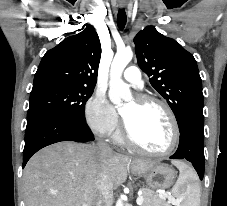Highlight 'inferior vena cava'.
<instances>
[{"mask_svg":"<svg viewBox=\"0 0 227 206\" xmlns=\"http://www.w3.org/2000/svg\"><path fill=\"white\" fill-rule=\"evenodd\" d=\"M97 148L102 152H110L112 149L104 142H98ZM99 195L96 206H111L113 201V184L106 171L99 174L98 179Z\"/></svg>","mask_w":227,"mask_h":206,"instance_id":"obj_1","label":"inferior vena cava"}]
</instances>
